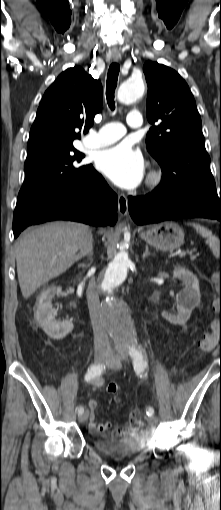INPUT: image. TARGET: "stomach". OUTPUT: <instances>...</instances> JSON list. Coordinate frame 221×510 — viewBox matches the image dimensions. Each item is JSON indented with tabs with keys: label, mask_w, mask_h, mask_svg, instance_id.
Masks as SVG:
<instances>
[{
	"label": "stomach",
	"mask_w": 221,
	"mask_h": 510,
	"mask_svg": "<svg viewBox=\"0 0 221 510\" xmlns=\"http://www.w3.org/2000/svg\"><path fill=\"white\" fill-rule=\"evenodd\" d=\"M148 244L163 251H173L184 243V232L178 224L164 222L140 233Z\"/></svg>",
	"instance_id": "0dacf381"
}]
</instances>
